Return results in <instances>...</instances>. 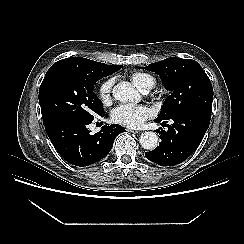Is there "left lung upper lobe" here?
<instances>
[{
	"mask_svg": "<svg viewBox=\"0 0 244 244\" xmlns=\"http://www.w3.org/2000/svg\"><path fill=\"white\" fill-rule=\"evenodd\" d=\"M171 95L166 98L158 119H169L186 110L212 112L213 88L202 67L194 60L177 57L149 64Z\"/></svg>",
	"mask_w": 244,
	"mask_h": 244,
	"instance_id": "obj_1",
	"label": "left lung upper lobe"
}]
</instances>
